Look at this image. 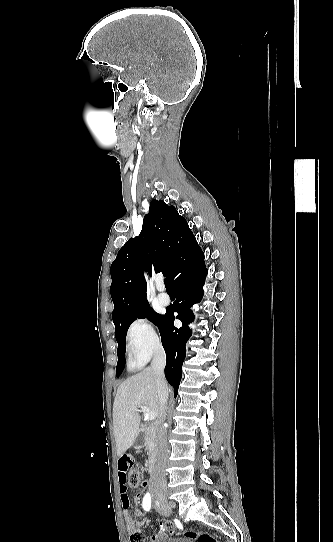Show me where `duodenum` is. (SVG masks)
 Instances as JSON below:
<instances>
[{"mask_svg": "<svg viewBox=\"0 0 333 542\" xmlns=\"http://www.w3.org/2000/svg\"><path fill=\"white\" fill-rule=\"evenodd\" d=\"M134 444L137 447L149 446L151 449V455L148 460V472L150 474L154 473L156 469L157 456L155 452L156 440L155 436L150 431H145L134 440Z\"/></svg>", "mask_w": 333, "mask_h": 542, "instance_id": "duodenum-1", "label": "duodenum"}]
</instances>
